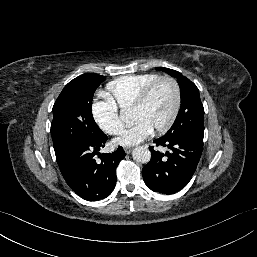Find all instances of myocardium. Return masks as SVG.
<instances>
[{
	"label": "myocardium",
	"mask_w": 257,
	"mask_h": 257,
	"mask_svg": "<svg viewBox=\"0 0 257 257\" xmlns=\"http://www.w3.org/2000/svg\"><path fill=\"white\" fill-rule=\"evenodd\" d=\"M164 82L169 83L173 87L174 105H173L172 112H171L168 120L166 121V123L155 129V132H157V133H164L172 127V125L174 124V122L179 114L180 108H181V102H182L181 88H180L178 82L174 78L169 77V76H162V77H159L158 79H156L155 81H153L150 85H148L141 92V94L139 95V97L137 98L135 103L130 108L131 110H137V109L142 108L148 102L149 98L151 97L153 92L156 90V88Z\"/></svg>",
	"instance_id": "1"
}]
</instances>
